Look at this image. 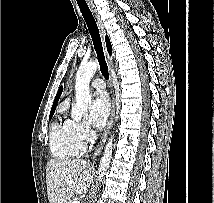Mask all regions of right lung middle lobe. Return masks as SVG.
Here are the masks:
<instances>
[{
    "label": "right lung middle lobe",
    "mask_w": 214,
    "mask_h": 203,
    "mask_svg": "<svg viewBox=\"0 0 214 203\" xmlns=\"http://www.w3.org/2000/svg\"><path fill=\"white\" fill-rule=\"evenodd\" d=\"M52 118V115H50L49 120Z\"/></svg>",
    "instance_id": "right-lung-middle-lobe-1"
}]
</instances>
